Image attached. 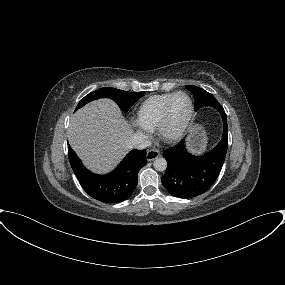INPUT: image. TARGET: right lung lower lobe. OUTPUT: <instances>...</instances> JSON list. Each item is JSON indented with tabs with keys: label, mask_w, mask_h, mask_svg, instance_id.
<instances>
[{
	"label": "right lung lower lobe",
	"mask_w": 285,
	"mask_h": 285,
	"mask_svg": "<svg viewBox=\"0 0 285 285\" xmlns=\"http://www.w3.org/2000/svg\"><path fill=\"white\" fill-rule=\"evenodd\" d=\"M68 157L82 188L91 197L104 203L126 200L137 185L139 170L146 164V151L133 150L114 171L106 175H96L84 167L70 145Z\"/></svg>",
	"instance_id": "right-lung-lower-lobe-1"
}]
</instances>
